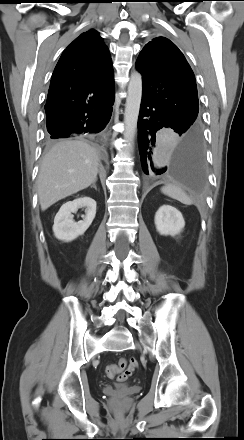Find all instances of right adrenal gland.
<instances>
[{"label": "right adrenal gland", "instance_id": "1", "mask_svg": "<svg viewBox=\"0 0 244 440\" xmlns=\"http://www.w3.org/2000/svg\"><path fill=\"white\" fill-rule=\"evenodd\" d=\"M91 188H94L95 190H97L96 181L92 184Z\"/></svg>", "mask_w": 244, "mask_h": 440}]
</instances>
